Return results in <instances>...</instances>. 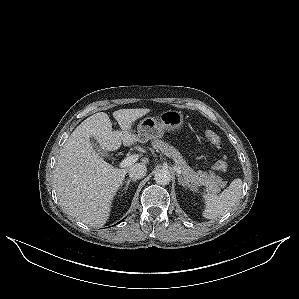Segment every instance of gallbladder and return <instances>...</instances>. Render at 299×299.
Returning a JSON list of instances; mask_svg holds the SVG:
<instances>
[{"label":"gallbladder","instance_id":"bac80fb5","mask_svg":"<svg viewBox=\"0 0 299 299\" xmlns=\"http://www.w3.org/2000/svg\"><path fill=\"white\" fill-rule=\"evenodd\" d=\"M90 141H91L92 147L94 148V150L96 152H98L102 156H106L105 151L101 148V146L99 145V143L97 142V140L94 137H91Z\"/></svg>","mask_w":299,"mask_h":299}]
</instances>
